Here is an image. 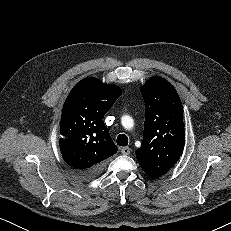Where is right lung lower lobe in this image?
I'll list each match as a JSON object with an SVG mask.
<instances>
[{"label":"right lung lower lobe","mask_w":231,"mask_h":231,"mask_svg":"<svg viewBox=\"0 0 231 231\" xmlns=\"http://www.w3.org/2000/svg\"><path fill=\"white\" fill-rule=\"evenodd\" d=\"M101 168L102 167H96V168L86 170L84 172H77V171L76 172L82 177H92V176L98 174L100 172Z\"/></svg>","instance_id":"98d812e1"}]
</instances>
